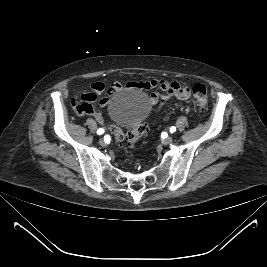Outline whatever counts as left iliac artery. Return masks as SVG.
I'll use <instances>...</instances> for the list:
<instances>
[{
  "instance_id": "1",
  "label": "left iliac artery",
  "mask_w": 267,
  "mask_h": 267,
  "mask_svg": "<svg viewBox=\"0 0 267 267\" xmlns=\"http://www.w3.org/2000/svg\"><path fill=\"white\" fill-rule=\"evenodd\" d=\"M175 131H176V128H175L174 126H172V127L170 128V132L173 133V132H175Z\"/></svg>"
}]
</instances>
